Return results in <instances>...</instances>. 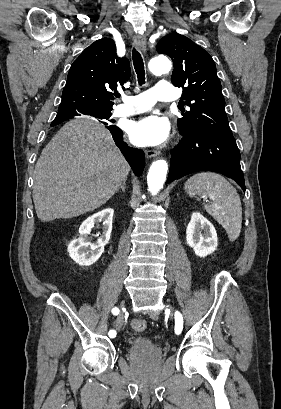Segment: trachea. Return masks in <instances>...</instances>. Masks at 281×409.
Wrapping results in <instances>:
<instances>
[{
    "label": "trachea",
    "mask_w": 281,
    "mask_h": 409,
    "mask_svg": "<svg viewBox=\"0 0 281 409\" xmlns=\"http://www.w3.org/2000/svg\"><path fill=\"white\" fill-rule=\"evenodd\" d=\"M132 58L139 85H143L145 83L144 62L141 54L135 48L132 51ZM116 97H120V94H117Z\"/></svg>",
    "instance_id": "trachea-1"
}]
</instances>
